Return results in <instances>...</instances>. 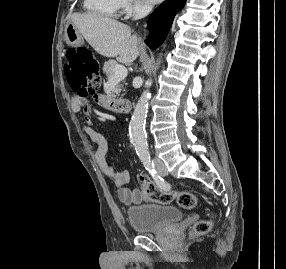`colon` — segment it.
Here are the masks:
<instances>
[{
  "label": "colon",
  "instance_id": "1",
  "mask_svg": "<svg viewBox=\"0 0 286 269\" xmlns=\"http://www.w3.org/2000/svg\"><path fill=\"white\" fill-rule=\"evenodd\" d=\"M66 76L70 85L83 95L94 94L98 86V66L92 53L85 48L69 49L67 51ZM140 194L143 198L167 203L172 196L164 193L146 175H140L138 179ZM179 204L184 208H192L197 203L195 194L183 192L177 196ZM211 220H201L194 228L196 235L205 234L211 228Z\"/></svg>",
  "mask_w": 286,
  "mask_h": 269
}]
</instances>
